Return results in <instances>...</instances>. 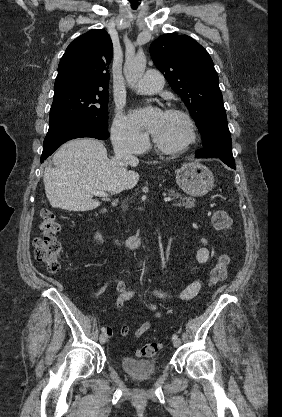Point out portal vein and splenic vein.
Here are the masks:
<instances>
[{"instance_id":"portal-vein-and-splenic-vein-1","label":"portal vein and splenic vein","mask_w":282,"mask_h":417,"mask_svg":"<svg viewBox=\"0 0 282 417\" xmlns=\"http://www.w3.org/2000/svg\"><path fill=\"white\" fill-rule=\"evenodd\" d=\"M93 194H95V196H108L107 192H104V190H93ZM164 200H166L168 203L175 202V199L170 198V196H165Z\"/></svg>"}]
</instances>
